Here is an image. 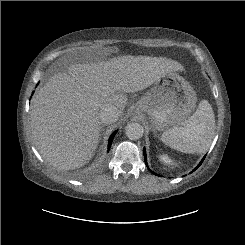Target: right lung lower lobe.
<instances>
[{
    "label": "right lung lower lobe",
    "instance_id": "98d812e1",
    "mask_svg": "<svg viewBox=\"0 0 245 245\" xmlns=\"http://www.w3.org/2000/svg\"><path fill=\"white\" fill-rule=\"evenodd\" d=\"M117 133V131H115L109 138V143H108V149H110L111 147V144H112V141H113V138L115 136V134Z\"/></svg>",
    "mask_w": 245,
    "mask_h": 245
}]
</instances>
